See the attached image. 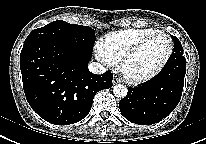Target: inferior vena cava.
Returning a JSON list of instances; mask_svg holds the SVG:
<instances>
[{
    "label": "inferior vena cava",
    "instance_id": "obj_1",
    "mask_svg": "<svg viewBox=\"0 0 206 144\" xmlns=\"http://www.w3.org/2000/svg\"><path fill=\"white\" fill-rule=\"evenodd\" d=\"M88 69L90 72L94 73V74H103L105 73L106 69L104 66H102L100 63L98 62H92L88 65Z\"/></svg>",
    "mask_w": 206,
    "mask_h": 144
}]
</instances>
